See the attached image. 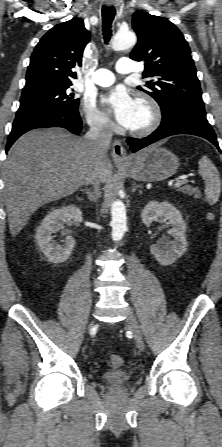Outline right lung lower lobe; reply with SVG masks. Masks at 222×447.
Here are the masks:
<instances>
[{"label": "right lung lower lobe", "instance_id": "right-lung-lower-lobe-1", "mask_svg": "<svg viewBox=\"0 0 222 447\" xmlns=\"http://www.w3.org/2000/svg\"><path fill=\"white\" fill-rule=\"evenodd\" d=\"M62 127L70 132L77 134L82 130V121L78 110H64L49 114L44 117L31 119L18 124H13L12 131L9 135L6 152L11 145L25 132L36 128Z\"/></svg>", "mask_w": 222, "mask_h": 447}]
</instances>
